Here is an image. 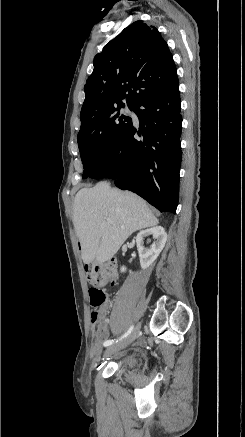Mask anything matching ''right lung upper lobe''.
I'll return each mask as SVG.
<instances>
[{"label": "right lung upper lobe", "instance_id": "obj_1", "mask_svg": "<svg viewBox=\"0 0 245 437\" xmlns=\"http://www.w3.org/2000/svg\"><path fill=\"white\" fill-rule=\"evenodd\" d=\"M94 70L84 86L81 125L103 110L163 94L179 85L167 42L142 20L126 27L94 57Z\"/></svg>", "mask_w": 245, "mask_h": 437}]
</instances>
